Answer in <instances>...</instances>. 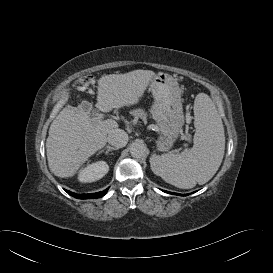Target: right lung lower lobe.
<instances>
[{
	"mask_svg": "<svg viewBox=\"0 0 273 273\" xmlns=\"http://www.w3.org/2000/svg\"><path fill=\"white\" fill-rule=\"evenodd\" d=\"M69 195L75 197V198H78V199H96V198H100V197H103L107 191H108V188L104 191H101V192H97V193H90V194H76V193H73L71 191H68V190H65Z\"/></svg>",
	"mask_w": 273,
	"mask_h": 273,
	"instance_id": "right-lung-lower-lobe-1",
	"label": "right lung lower lobe"
}]
</instances>
